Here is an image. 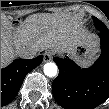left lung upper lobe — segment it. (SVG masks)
<instances>
[{"label":"left lung upper lobe","instance_id":"5c2ea615","mask_svg":"<svg viewBox=\"0 0 109 109\" xmlns=\"http://www.w3.org/2000/svg\"><path fill=\"white\" fill-rule=\"evenodd\" d=\"M94 25L99 31H108L107 27L103 22L98 20L97 18L93 17Z\"/></svg>","mask_w":109,"mask_h":109}]
</instances>
